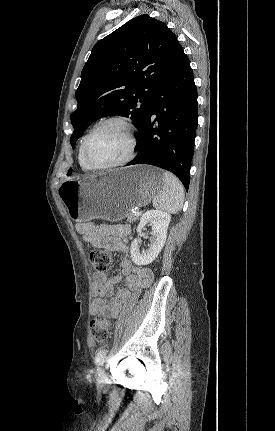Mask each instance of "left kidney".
<instances>
[{"mask_svg":"<svg viewBox=\"0 0 275 431\" xmlns=\"http://www.w3.org/2000/svg\"><path fill=\"white\" fill-rule=\"evenodd\" d=\"M170 221L171 215L161 210H149L142 215L137 232L141 233L144 226L151 225L150 246L140 251L138 240L132 242L131 257L135 264L147 265L155 260L165 244Z\"/></svg>","mask_w":275,"mask_h":431,"instance_id":"obj_1","label":"left kidney"}]
</instances>
